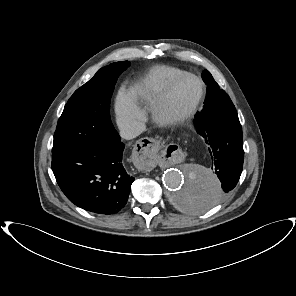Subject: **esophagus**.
Segmentation results:
<instances>
[{
    "label": "esophagus",
    "instance_id": "esophagus-1",
    "mask_svg": "<svg viewBox=\"0 0 296 296\" xmlns=\"http://www.w3.org/2000/svg\"><path fill=\"white\" fill-rule=\"evenodd\" d=\"M161 142L153 138L142 139L134 152L133 167L140 172L151 169L156 162V153L161 149Z\"/></svg>",
    "mask_w": 296,
    "mask_h": 296
}]
</instances>
